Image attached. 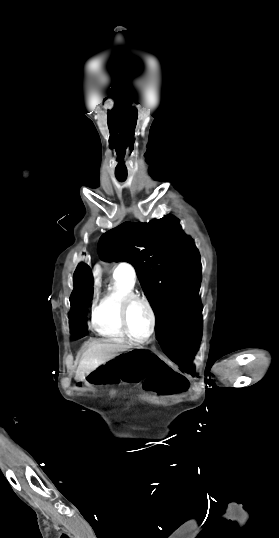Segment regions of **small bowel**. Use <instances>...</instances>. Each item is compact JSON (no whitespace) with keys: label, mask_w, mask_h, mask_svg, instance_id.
I'll return each mask as SVG.
<instances>
[{"label":"small bowel","mask_w":279,"mask_h":538,"mask_svg":"<svg viewBox=\"0 0 279 538\" xmlns=\"http://www.w3.org/2000/svg\"><path fill=\"white\" fill-rule=\"evenodd\" d=\"M143 389L158 396H174L185 393L189 388L188 380L172 369L156 370L146 375Z\"/></svg>","instance_id":"c3829d8e"}]
</instances>
